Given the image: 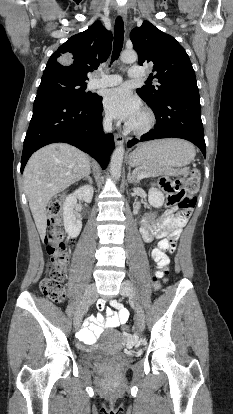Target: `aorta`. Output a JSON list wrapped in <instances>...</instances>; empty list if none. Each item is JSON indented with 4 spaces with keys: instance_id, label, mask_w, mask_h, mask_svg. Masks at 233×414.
Returning <instances> with one entry per match:
<instances>
[{
    "instance_id": "762f6f07",
    "label": "aorta",
    "mask_w": 233,
    "mask_h": 414,
    "mask_svg": "<svg viewBox=\"0 0 233 414\" xmlns=\"http://www.w3.org/2000/svg\"><path fill=\"white\" fill-rule=\"evenodd\" d=\"M120 59L122 62L131 64L137 61V53L133 50H125L121 53ZM124 157V147L120 144L115 148L110 162V172L115 180H119L121 176L122 162Z\"/></svg>"
}]
</instances>
